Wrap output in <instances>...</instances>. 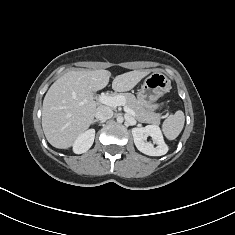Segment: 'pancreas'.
I'll list each match as a JSON object with an SVG mask.
<instances>
[{"label":"pancreas","mask_w":235,"mask_h":235,"mask_svg":"<svg viewBox=\"0 0 235 235\" xmlns=\"http://www.w3.org/2000/svg\"><path fill=\"white\" fill-rule=\"evenodd\" d=\"M121 95L125 98V105L134 110L135 118L141 123L159 124L162 116L144 107L133 94L120 93L113 96Z\"/></svg>","instance_id":"1"}]
</instances>
